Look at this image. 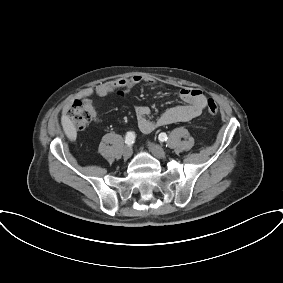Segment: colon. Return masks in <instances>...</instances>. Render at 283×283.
Returning a JSON list of instances; mask_svg holds the SVG:
<instances>
[{
  "mask_svg": "<svg viewBox=\"0 0 283 283\" xmlns=\"http://www.w3.org/2000/svg\"><path fill=\"white\" fill-rule=\"evenodd\" d=\"M207 111L214 116L218 113V106L214 100L207 101ZM66 120L78 130L85 129L93 118L92 108L82 101H75L66 111Z\"/></svg>",
  "mask_w": 283,
  "mask_h": 283,
  "instance_id": "colon-1",
  "label": "colon"
}]
</instances>
